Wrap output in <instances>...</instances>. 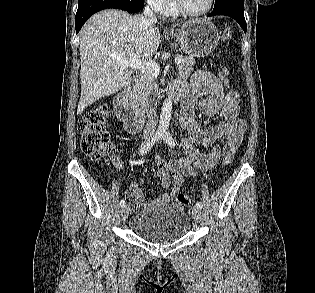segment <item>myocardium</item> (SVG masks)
Listing matches in <instances>:
<instances>
[{"instance_id": "1", "label": "myocardium", "mask_w": 315, "mask_h": 293, "mask_svg": "<svg viewBox=\"0 0 315 293\" xmlns=\"http://www.w3.org/2000/svg\"><path fill=\"white\" fill-rule=\"evenodd\" d=\"M172 1H173L176 11L179 14H182L184 16H189V17H199V16H203L207 14L212 9L213 4H214V0H208V4L203 10L198 11V12H193V11L188 10L184 6L183 0H172Z\"/></svg>"}]
</instances>
